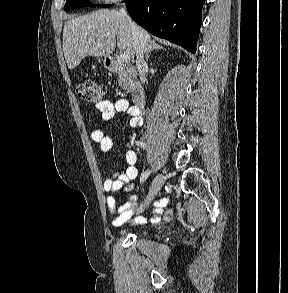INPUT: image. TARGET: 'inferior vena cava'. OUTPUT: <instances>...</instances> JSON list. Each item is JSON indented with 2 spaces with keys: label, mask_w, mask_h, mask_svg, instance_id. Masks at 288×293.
I'll use <instances>...</instances> for the list:
<instances>
[{
  "label": "inferior vena cava",
  "mask_w": 288,
  "mask_h": 293,
  "mask_svg": "<svg viewBox=\"0 0 288 293\" xmlns=\"http://www.w3.org/2000/svg\"><path fill=\"white\" fill-rule=\"evenodd\" d=\"M121 14L126 18L132 34L134 38V43H135V50H136V66L139 72V77L142 83L146 82V70H147V64L144 60V54L146 51V47L144 45V41L142 39V35L140 33L139 27L132 21L130 16L127 13V10L125 6H123L120 9Z\"/></svg>",
  "instance_id": "1"
}]
</instances>
